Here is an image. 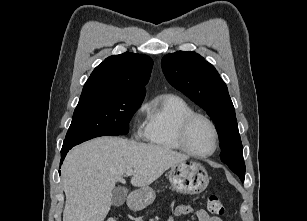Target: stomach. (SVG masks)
I'll return each instance as SVG.
<instances>
[{
	"label": "stomach",
	"instance_id": "0dacf381",
	"mask_svg": "<svg viewBox=\"0 0 307 221\" xmlns=\"http://www.w3.org/2000/svg\"><path fill=\"white\" fill-rule=\"evenodd\" d=\"M169 181L173 189L183 194H199L209 184L206 169L198 162L184 161L172 166L169 171ZM155 199V191L151 187H142L136 191L134 208H144Z\"/></svg>",
	"mask_w": 307,
	"mask_h": 221
}]
</instances>
